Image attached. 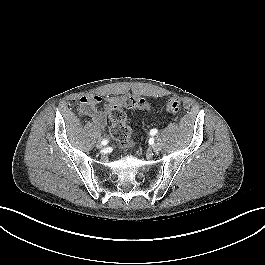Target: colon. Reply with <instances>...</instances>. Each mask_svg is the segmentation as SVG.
I'll list each match as a JSON object with an SVG mask.
<instances>
[{
    "label": "colon",
    "mask_w": 265,
    "mask_h": 265,
    "mask_svg": "<svg viewBox=\"0 0 265 265\" xmlns=\"http://www.w3.org/2000/svg\"><path fill=\"white\" fill-rule=\"evenodd\" d=\"M181 103L177 98H170L166 103V110L170 113L179 111ZM151 104L137 96H125L120 98L109 110L111 121L110 134L121 149H131L133 142L130 137V129L126 123V110L143 109L150 110Z\"/></svg>",
    "instance_id": "colon-1"
}]
</instances>
